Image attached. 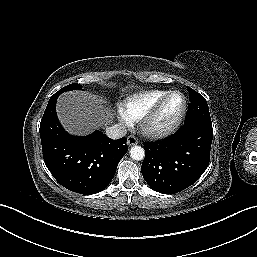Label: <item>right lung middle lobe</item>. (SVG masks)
I'll return each instance as SVG.
<instances>
[{"mask_svg": "<svg viewBox=\"0 0 257 257\" xmlns=\"http://www.w3.org/2000/svg\"><path fill=\"white\" fill-rule=\"evenodd\" d=\"M75 89L81 90V89H82V85H80V84H75V83H74V84H70V85L65 86V87H63L62 89H60V90L58 91V93L61 94V93H63V92L70 91V90H75Z\"/></svg>", "mask_w": 257, "mask_h": 257, "instance_id": "1", "label": "right lung middle lobe"}]
</instances>
